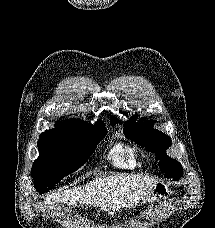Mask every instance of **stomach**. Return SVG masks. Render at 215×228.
I'll list each match as a JSON object with an SVG mask.
<instances>
[{
  "instance_id": "0dacf381",
  "label": "stomach",
  "mask_w": 215,
  "mask_h": 228,
  "mask_svg": "<svg viewBox=\"0 0 215 228\" xmlns=\"http://www.w3.org/2000/svg\"><path fill=\"white\" fill-rule=\"evenodd\" d=\"M170 194L169 186H166L163 182H155L151 200H153V202H162V200H167Z\"/></svg>"
}]
</instances>
